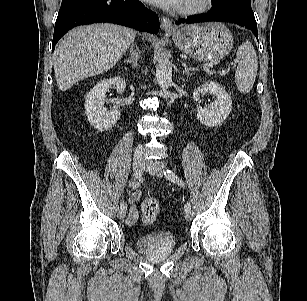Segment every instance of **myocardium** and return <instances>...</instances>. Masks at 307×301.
<instances>
[{
  "label": "myocardium",
  "instance_id": "f54148a6",
  "mask_svg": "<svg viewBox=\"0 0 307 301\" xmlns=\"http://www.w3.org/2000/svg\"><path fill=\"white\" fill-rule=\"evenodd\" d=\"M214 0H191L185 5L179 6L177 12L181 15H195L209 10Z\"/></svg>",
  "mask_w": 307,
  "mask_h": 301
}]
</instances>
